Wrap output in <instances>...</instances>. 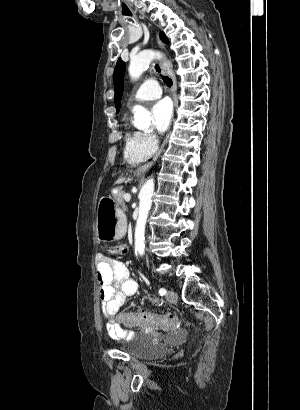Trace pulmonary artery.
<instances>
[{
  "mask_svg": "<svg viewBox=\"0 0 300 410\" xmlns=\"http://www.w3.org/2000/svg\"><path fill=\"white\" fill-rule=\"evenodd\" d=\"M162 90L159 83L152 77L145 80L133 95V100L143 102L161 97Z\"/></svg>",
  "mask_w": 300,
  "mask_h": 410,
  "instance_id": "1",
  "label": "pulmonary artery"
}]
</instances>
